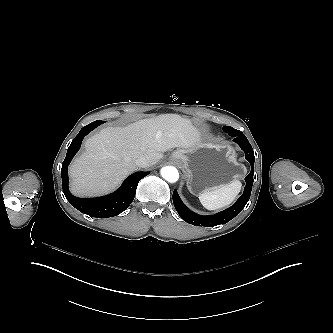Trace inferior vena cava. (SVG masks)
Here are the masks:
<instances>
[{
    "label": "inferior vena cava",
    "instance_id": "602c4592",
    "mask_svg": "<svg viewBox=\"0 0 333 333\" xmlns=\"http://www.w3.org/2000/svg\"><path fill=\"white\" fill-rule=\"evenodd\" d=\"M135 164L139 167H146L150 165V161L147 156L142 155L135 160Z\"/></svg>",
    "mask_w": 333,
    "mask_h": 333
}]
</instances>
